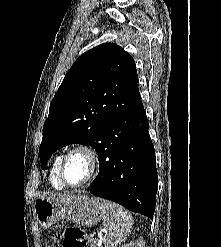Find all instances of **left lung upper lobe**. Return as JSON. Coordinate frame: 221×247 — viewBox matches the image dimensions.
<instances>
[{"label":"left lung upper lobe","mask_w":221,"mask_h":247,"mask_svg":"<svg viewBox=\"0 0 221 247\" xmlns=\"http://www.w3.org/2000/svg\"><path fill=\"white\" fill-rule=\"evenodd\" d=\"M142 106L133 58L114 43L87 51L69 69L51 101L39 148L42 168L57 149L72 143L99 152L104 128Z\"/></svg>","instance_id":"left-lung-upper-lobe-1"}]
</instances>
